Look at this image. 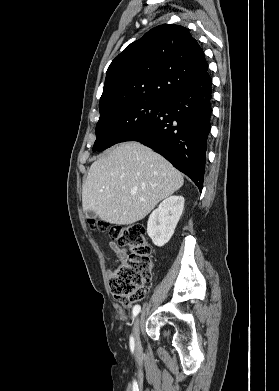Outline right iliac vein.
Segmentation results:
<instances>
[{
	"label": "right iliac vein",
	"mask_w": 279,
	"mask_h": 391,
	"mask_svg": "<svg viewBox=\"0 0 279 391\" xmlns=\"http://www.w3.org/2000/svg\"><path fill=\"white\" fill-rule=\"evenodd\" d=\"M139 334H140V319L137 317L134 322L133 326V335H134V342L136 345H139Z\"/></svg>",
	"instance_id": "1"
}]
</instances>
